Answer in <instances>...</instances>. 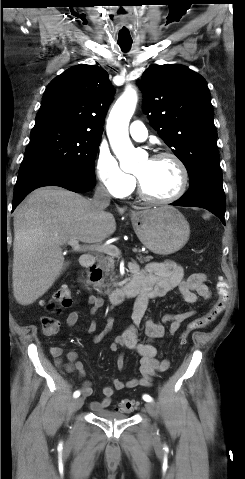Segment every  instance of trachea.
I'll list each match as a JSON object with an SVG mask.
<instances>
[{
    "mask_svg": "<svg viewBox=\"0 0 245 479\" xmlns=\"http://www.w3.org/2000/svg\"><path fill=\"white\" fill-rule=\"evenodd\" d=\"M118 45L120 46L122 51L128 52L132 45V41H118Z\"/></svg>",
    "mask_w": 245,
    "mask_h": 479,
    "instance_id": "1",
    "label": "trachea"
}]
</instances>
